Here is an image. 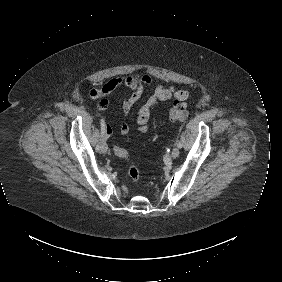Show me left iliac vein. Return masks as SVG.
<instances>
[{
  "mask_svg": "<svg viewBox=\"0 0 282 282\" xmlns=\"http://www.w3.org/2000/svg\"><path fill=\"white\" fill-rule=\"evenodd\" d=\"M178 156H179V148H178V147H175V148H173V150H172L171 158H172V159H176Z\"/></svg>",
  "mask_w": 282,
  "mask_h": 282,
  "instance_id": "1",
  "label": "left iliac vein"
}]
</instances>
